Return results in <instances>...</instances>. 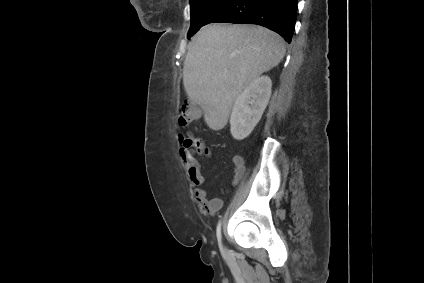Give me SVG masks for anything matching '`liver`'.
Masks as SVG:
<instances>
[{
    "instance_id": "obj_1",
    "label": "liver",
    "mask_w": 424,
    "mask_h": 283,
    "mask_svg": "<svg viewBox=\"0 0 424 283\" xmlns=\"http://www.w3.org/2000/svg\"><path fill=\"white\" fill-rule=\"evenodd\" d=\"M285 55L282 37L269 28L251 24L213 23L192 38L183 65L188 98L203 110L212 130L228 122L233 103L262 73L277 66Z\"/></svg>"
}]
</instances>
